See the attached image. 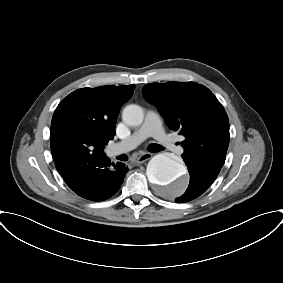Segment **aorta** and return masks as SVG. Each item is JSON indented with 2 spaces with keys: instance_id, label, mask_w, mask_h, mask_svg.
Wrapping results in <instances>:
<instances>
[{
  "instance_id": "762f6f07",
  "label": "aorta",
  "mask_w": 283,
  "mask_h": 283,
  "mask_svg": "<svg viewBox=\"0 0 283 283\" xmlns=\"http://www.w3.org/2000/svg\"><path fill=\"white\" fill-rule=\"evenodd\" d=\"M143 118L142 108L135 104L126 106L122 112V119L129 126H139ZM146 174L152 184L165 188L169 195L180 196L187 188L185 166L166 154L155 155L148 162Z\"/></svg>"
}]
</instances>
